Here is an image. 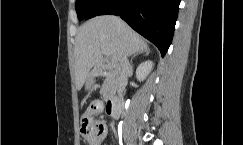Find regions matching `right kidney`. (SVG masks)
<instances>
[{
    "label": "right kidney",
    "instance_id": "1",
    "mask_svg": "<svg viewBox=\"0 0 243 145\" xmlns=\"http://www.w3.org/2000/svg\"><path fill=\"white\" fill-rule=\"evenodd\" d=\"M153 68L152 61H145L141 63L136 69V78L138 81H144L148 74L151 72Z\"/></svg>",
    "mask_w": 243,
    "mask_h": 145
}]
</instances>
